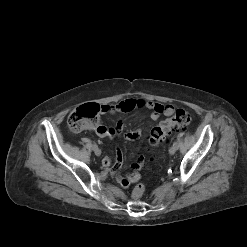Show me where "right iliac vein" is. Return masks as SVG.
I'll list each match as a JSON object with an SVG mask.
<instances>
[{
  "label": "right iliac vein",
  "mask_w": 247,
  "mask_h": 247,
  "mask_svg": "<svg viewBox=\"0 0 247 247\" xmlns=\"http://www.w3.org/2000/svg\"><path fill=\"white\" fill-rule=\"evenodd\" d=\"M95 155L100 156L101 150L98 147L93 148Z\"/></svg>",
  "instance_id": "63e3f726"
}]
</instances>
